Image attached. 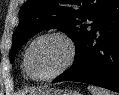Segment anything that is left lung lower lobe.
Segmentation results:
<instances>
[{
  "instance_id": "obj_1",
  "label": "left lung lower lobe",
  "mask_w": 119,
  "mask_h": 95,
  "mask_svg": "<svg viewBox=\"0 0 119 95\" xmlns=\"http://www.w3.org/2000/svg\"><path fill=\"white\" fill-rule=\"evenodd\" d=\"M76 49L72 67L53 80L78 81L119 93V0H110L93 19Z\"/></svg>"
}]
</instances>
